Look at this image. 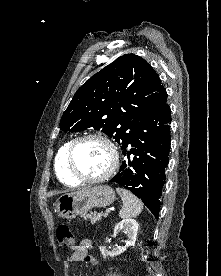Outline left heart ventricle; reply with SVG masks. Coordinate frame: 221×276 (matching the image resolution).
<instances>
[{
    "label": "left heart ventricle",
    "instance_id": "left-heart-ventricle-1",
    "mask_svg": "<svg viewBox=\"0 0 221 276\" xmlns=\"http://www.w3.org/2000/svg\"><path fill=\"white\" fill-rule=\"evenodd\" d=\"M111 162V154L105 143L89 139L79 143L73 154L76 170L86 177H97L104 173Z\"/></svg>",
    "mask_w": 221,
    "mask_h": 276
}]
</instances>
